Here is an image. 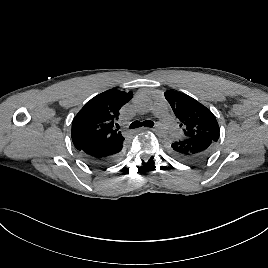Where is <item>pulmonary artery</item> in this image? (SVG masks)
I'll return each instance as SVG.
<instances>
[{
  "label": "pulmonary artery",
  "mask_w": 268,
  "mask_h": 268,
  "mask_svg": "<svg viewBox=\"0 0 268 268\" xmlns=\"http://www.w3.org/2000/svg\"><path fill=\"white\" fill-rule=\"evenodd\" d=\"M154 114L161 120L163 126L169 133L175 134L178 132V127L175 124L173 117L168 112L165 104L157 103L154 107Z\"/></svg>",
  "instance_id": "1"
}]
</instances>
